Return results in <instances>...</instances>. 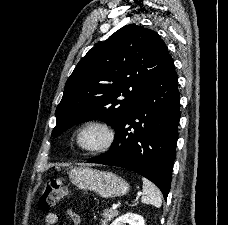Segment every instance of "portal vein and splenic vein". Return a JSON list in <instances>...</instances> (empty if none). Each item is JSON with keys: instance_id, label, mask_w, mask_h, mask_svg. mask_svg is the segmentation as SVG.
Returning <instances> with one entry per match:
<instances>
[{"instance_id": "portal-vein-and-splenic-vein-1", "label": "portal vein and splenic vein", "mask_w": 228, "mask_h": 225, "mask_svg": "<svg viewBox=\"0 0 228 225\" xmlns=\"http://www.w3.org/2000/svg\"><path fill=\"white\" fill-rule=\"evenodd\" d=\"M135 199H129L126 203L125 206L126 207H132L133 205H138L139 204V200H140V195H135L134 197ZM122 204L120 202H115V204L111 205L112 209H118V207H120Z\"/></svg>"}]
</instances>
